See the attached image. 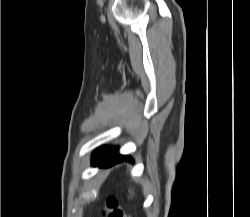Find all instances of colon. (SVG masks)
Returning a JSON list of instances; mask_svg holds the SVG:
<instances>
[{
    "label": "colon",
    "instance_id": "obj_1",
    "mask_svg": "<svg viewBox=\"0 0 250 217\" xmlns=\"http://www.w3.org/2000/svg\"><path fill=\"white\" fill-rule=\"evenodd\" d=\"M105 217H129L125 208L115 196H109L103 206Z\"/></svg>",
    "mask_w": 250,
    "mask_h": 217
}]
</instances>
